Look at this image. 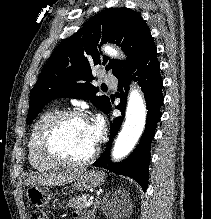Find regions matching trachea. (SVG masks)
<instances>
[{"mask_svg": "<svg viewBox=\"0 0 211 219\" xmlns=\"http://www.w3.org/2000/svg\"><path fill=\"white\" fill-rule=\"evenodd\" d=\"M107 89V87H104V90H106Z\"/></svg>", "mask_w": 211, "mask_h": 219, "instance_id": "trachea-1", "label": "trachea"}]
</instances>
